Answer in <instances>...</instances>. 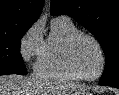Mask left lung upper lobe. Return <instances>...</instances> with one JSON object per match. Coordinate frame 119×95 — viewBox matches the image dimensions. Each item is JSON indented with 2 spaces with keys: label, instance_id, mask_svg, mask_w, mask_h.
I'll return each mask as SVG.
<instances>
[{
  "label": "left lung upper lobe",
  "instance_id": "left-lung-upper-lobe-1",
  "mask_svg": "<svg viewBox=\"0 0 119 95\" xmlns=\"http://www.w3.org/2000/svg\"><path fill=\"white\" fill-rule=\"evenodd\" d=\"M51 14H66L95 35L106 55L100 84H119V0H52Z\"/></svg>",
  "mask_w": 119,
  "mask_h": 95
}]
</instances>
